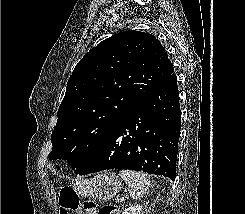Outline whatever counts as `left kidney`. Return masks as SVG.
<instances>
[{"label": "left kidney", "mask_w": 245, "mask_h": 214, "mask_svg": "<svg viewBox=\"0 0 245 214\" xmlns=\"http://www.w3.org/2000/svg\"><path fill=\"white\" fill-rule=\"evenodd\" d=\"M144 205H134V206H130L128 208H126L122 214H143L142 210H143Z\"/></svg>", "instance_id": "left-kidney-1"}]
</instances>
